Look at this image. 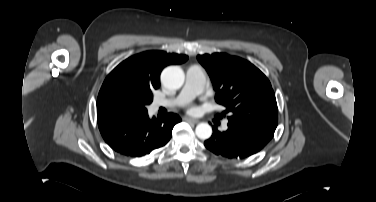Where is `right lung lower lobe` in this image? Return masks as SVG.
Returning <instances> with one entry per match:
<instances>
[{
    "mask_svg": "<svg viewBox=\"0 0 376 202\" xmlns=\"http://www.w3.org/2000/svg\"><path fill=\"white\" fill-rule=\"evenodd\" d=\"M180 121L174 113L150 119L145 112L98 125L103 139L113 150L129 157H141L167 144L174 125Z\"/></svg>",
    "mask_w": 376,
    "mask_h": 202,
    "instance_id": "right-lung-lower-lobe-1",
    "label": "right lung lower lobe"
}]
</instances>
